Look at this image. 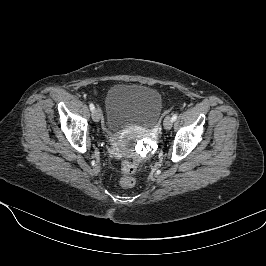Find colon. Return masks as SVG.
<instances>
[{
	"instance_id": "obj_1",
	"label": "colon",
	"mask_w": 266,
	"mask_h": 266,
	"mask_svg": "<svg viewBox=\"0 0 266 266\" xmlns=\"http://www.w3.org/2000/svg\"><path fill=\"white\" fill-rule=\"evenodd\" d=\"M138 165V159H126L121 164V173L118 176V183L121 187L131 188L135 185L136 181L132 174L135 172Z\"/></svg>"
}]
</instances>
